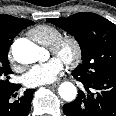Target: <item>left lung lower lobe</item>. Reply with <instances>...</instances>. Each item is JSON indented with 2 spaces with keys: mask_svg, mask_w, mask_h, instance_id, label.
Here are the masks:
<instances>
[{
  "mask_svg": "<svg viewBox=\"0 0 116 116\" xmlns=\"http://www.w3.org/2000/svg\"><path fill=\"white\" fill-rule=\"evenodd\" d=\"M82 82L85 91L63 106L66 116H116V73L94 79H86L72 72Z\"/></svg>",
  "mask_w": 116,
  "mask_h": 116,
  "instance_id": "left-lung-lower-lobe-1",
  "label": "left lung lower lobe"
}]
</instances>
